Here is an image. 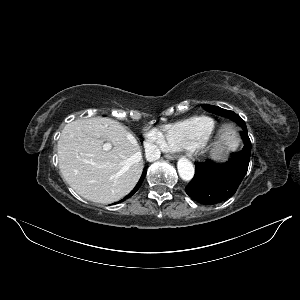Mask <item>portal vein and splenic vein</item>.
<instances>
[{
    "label": "portal vein and splenic vein",
    "instance_id": "18ae733b",
    "mask_svg": "<svg viewBox=\"0 0 300 300\" xmlns=\"http://www.w3.org/2000/svg\"><path fill=\"white\" fill-rule=\"evenodd\" d=\"M111 144H109V143H105L104 145H103V149L105 150V151H107V150H110L111 149Z\"/></svg>",
    "mask_w": 300,
    "mask_h": 300
}]
</instances>
